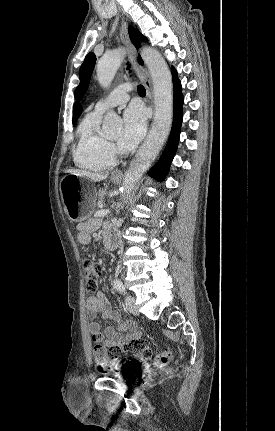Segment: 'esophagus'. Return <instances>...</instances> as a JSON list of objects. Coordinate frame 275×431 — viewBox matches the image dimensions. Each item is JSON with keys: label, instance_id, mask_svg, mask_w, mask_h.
Instances as JSON below:
<instances>
[{"label": "esophagus", "instance_id": "34e87169", "mask_svg": "<svg viewBox=\"0 0 275 431\" xmlns=\"http://www.w3.org/2000/svg\"><path fill=\"white\" fill-rule=\"evenodd\" d=\"M128 26H129L128 19L125 16H122L121 28H120L122 41L128 50L129 58L133 64V67H134V70H135L137 76L139 77V79L144 84V87L146 89L147 101L151 104V107L153 108L154 107V105H153V103H154L153 97L154 96H153L152 80H151V77H150L147 69L143 65L139 64V62L137 60L136 51H135V49L131 43V40L129 38ZM114 175L122 176L123 173L121 171H116V172H114Z\"/></svg>", "mask_w": 275, "mask_h": 431}]
</instances>
